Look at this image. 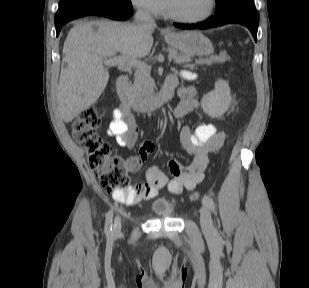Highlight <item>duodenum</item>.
<instances>
[{"label": "duodenum", "mask_w": 309, "mask_h": 288, "mask_svg": "<svg viewBox=\"0 0 309 288\" xmlns=\"http://www.w3.org/2000/svg\"><path fill=\"white\" fill-rule=\"evenodd\" d=\"M116 89L124 107L133 108L139 112H148L162 107L172 98L174 85L166 82L157 95L138 100L130 89L128 78L122 75L116 81Z\"/></svg>", "instance_id": "duodenum-1"}]
</instances>
